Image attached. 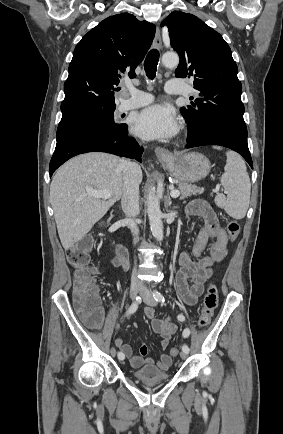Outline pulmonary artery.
Wrapping results in <instances>:
<instances>
[{
    "label": "pulmonary artery",
    "mask_w": 283,
    "mask_h": 434,
    "mask_svg": "<svg viewBox=\"0 0 283 434\" xmlns=\"http://www.w3.org/2000/svg\"><path fill=\"white\" fill-rule=\"evenodd\" d=\"M165 90L169 94L188 95L192 92V87L179 80H169L166 83ZM125 93L127 97H124L118 105L120 112L145 106L153 100L150 94L136 89L132 84L126 85Z\"/></svg>",
    "instance_id": "1"
}]
</instances>
